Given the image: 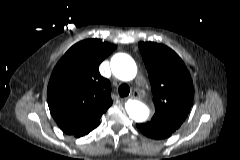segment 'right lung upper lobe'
Returning a JSON list of instances; mask_svg holds the SVG:
<instances>
[{
    "label": "right lung upper lobe",
    "instance_id": "right-lung-upper-lobe-1",
    "mask_svg": "<svg viewBox=\"0 0 240 160\" xmlns=\"http://www.w3.org/2000/svg\"><path fill=\"white\" fill-rule=\"evenodd\" d=\"M115 48L99 39L83 40L55 66L47 88L48 106L65 134L99 123L113 103L110 82L100 75L99 65Z\"/></svg>",
    "mask_w": 240,
    "mask_h": 160
}]
</instances>
